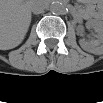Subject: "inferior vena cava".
<instances>
[{
  "instance_id": "1",
  "label": "inferior vena cava",
  "mask_w": 103,
  "mask_h": 103,
  "mask_svg": "<svg viewBox=\"0 0 103 103\" xmlns=\"http://www.w3.org/2000/svg\"><path fill=\"white\" fill-rule=\"evenodd\" d=\"M46 7L47 6H46V3L44 1L36 0V1H33L32 5H31V11L34 14H40V13L44 12Z\"/></svg>"
}]
</instances>
